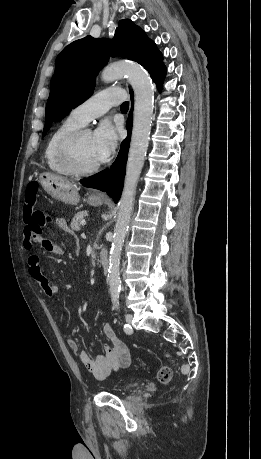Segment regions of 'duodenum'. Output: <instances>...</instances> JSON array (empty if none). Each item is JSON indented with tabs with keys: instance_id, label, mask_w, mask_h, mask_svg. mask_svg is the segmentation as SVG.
<instances>
[{
	"instance_id": "duodenum-1",
	"label": "duodenum",
	"mask_w": 261,
	"mask_h": 459,
	"mask_svg": "<svg viewBox=\"0 0 261 459\" xmlns=\"http://www.w3.org/2000/svg\"><path fill=\"white\" fill-rule=\"evenodd\" d=\"M98 261L103 271L107 273L109 264H108V258H107V251L104 248H100L98 252Z\"/></svg>"
}]
</instances>
